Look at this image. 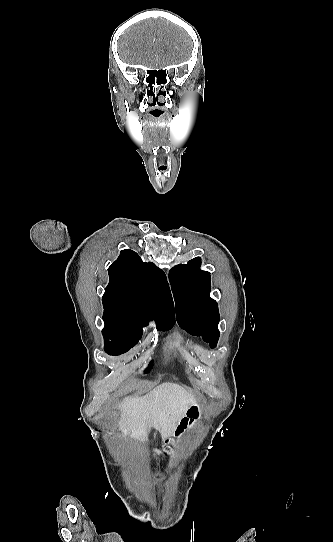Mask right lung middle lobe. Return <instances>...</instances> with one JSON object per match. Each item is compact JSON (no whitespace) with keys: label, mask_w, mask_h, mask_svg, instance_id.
Returning <instances> with one entry per match:
<instances>
[{"label":"right lung middle lobe","mask_w":333,"mask_h":542,"mask_svg":"<svg viewBox=\"0 0 333 542\" xmlns=\"http://www.w3.org/2000/svg\"><path fill=\"white\" fill-rule=\"evenodd\" d=\"M103 320L105 323L102 330L104 350L112 356L121 355L135 346L142 337V327L147 325V322L143 320L118 315L104 314ZM171 327H157V330H168ZM150 369L151 364L145 373H148Z\"/></svg>","instance_id":"right-lung-middle-lobe-1"}]
</instances>
